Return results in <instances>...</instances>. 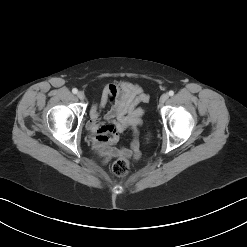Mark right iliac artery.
<instances>
[{
	"label": "right iliac artery",
	"instance_id": "82829eb1",
	"mask_svg": "<svg viewBox=\"0 0 247 247\" xmlns=\"http://www.w3.org/2000/svg\"><path fill=\"white\" fill-rule=\"evenodd\" d=\"M72 92H73L74 94H76V93L78 92V90H77L76 88H73V89H72Z\"/></svg>",
	"mask_w": 247,
	"mask_h": 247
}]
</instances>
